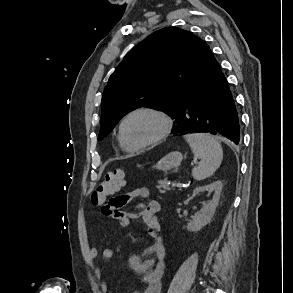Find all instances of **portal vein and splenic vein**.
I'll return each mask as SVG.
<instances>
[{
	"label": "portal vein and splenic vein",
	"mask_w": 293,
	"mask_h": 293,
	"mask_svg": "<svg viewBox=\"0 0 293 293\" xmlns=\"http://www.w3.org/2000/svg\"><path fill=\"white\" fill-rule=\"evenodd\" d=\"M175 185H176V186H179V185H180V183L178 182V183H176Z\"/></svg>",
	"instance_id": "portal-vein-and-splenic-vein-1"
}]
</instances>
